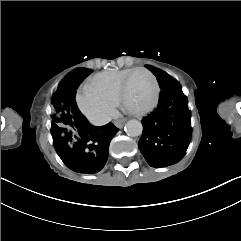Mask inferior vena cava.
Masks as SVG:
<instances>
[{
    "instance_id": "obj_1",
    "label": "inferior vena cava",
    "mask_w": 241,
    "mask_h": 241,
    "mask_svg": "<svg viewBox=\"0 0 241 241\" xmlns=\"http://www.w3.org/2000/svg\"><path fill=\"white\" fill-rule=\"evenodd\" d=\"M110 121H111V117L108 116V115H105L102 118L94 121L93 124L96 125V126H102V125L108 124Z\"/></svg>"
}]
</instances>
